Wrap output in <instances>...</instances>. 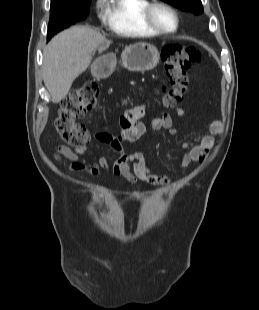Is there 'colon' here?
I'll return each instance as SVG.
<instances>
[{"mask_svg":"<svg viewBox=\"0 0 259 310\" xmlns=\"http://www.w3.org/2000/svg\"><path fill=\"white\" fill-rule=\"evenodd\" d=\"M161 59L169 84L160 89V95L163 104L171 108L183 100L187 91V72L193 64L202 60V55L196 47L169 44L162 49ZM98 95L95 84H84L62 102L56 129L68 146L83 147L89 142V132L78 119L95 107Z\"/></svg>","mask_w":259,"mask_h":310,"instance_id":"obj_1","label":"colon"}]
</instances>
